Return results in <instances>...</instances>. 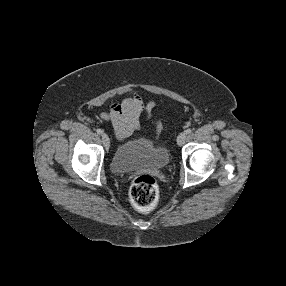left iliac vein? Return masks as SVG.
<instances>
[{"instance_id":"4c4485c4","label":"left iliac vein","mask_w":286,"mask_h":286,"mask_svg":"<svg viewBox=\"0 0 286 286\" xmlns=\"http://www.w3.org/2000/svg\"><path fill=\"white\" fill-rule=\"evenodd\" d=\"M186 140V133L182 132L177 137V144L178 146H182L185 143Z\"/></svg>"}]
</instances>
